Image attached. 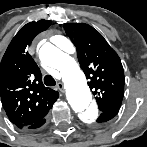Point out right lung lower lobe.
<instances>
[{
  "mask_svg": "<svg viewBox=\"0 0 147 147\" xmlns=\"http://www.w3.org/2000/svg\"><path fill=\"white\" fill-rule=\"evenodd\" d=\"M44 123H45V118L35 122L34 124H32V125H30V126H28L26 128H28V129H36V128L41 127Z\"/></svg>",
  "mask_w": 147,
  "mask_h": 147,
  "instance_id": "1",
  "label": "right lung lower lobe"
}]
</instances>
